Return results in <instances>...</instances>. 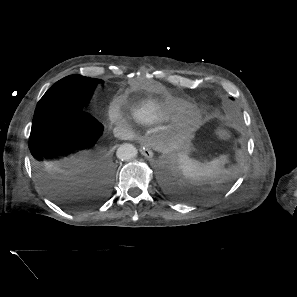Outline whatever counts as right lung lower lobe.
I'll use <instances>...</instances> for the list:
<instances>
[{
  "instance_id": "obj_1",
  "label": "right lung lower lobe",
  "mask_w": 297,
  "mask_h": 297,
  "mask_svg": "<svg viewBox=\"0 0 297 297\" xmlns=\"http://www.w3.org/2000/svg\"><path fill=\"white\" fill-rule=\"evenodd\" d=\"M102 132L98 120L75 108L32 124L34 173L46 192L70 209L92 208L109 196L113 164L99 144Z\"/></svg>"
}]
</instances>
